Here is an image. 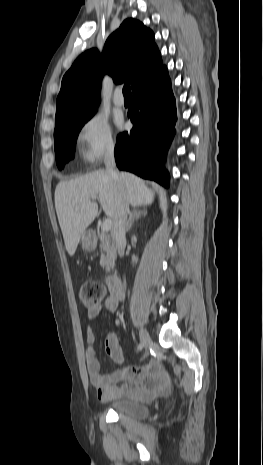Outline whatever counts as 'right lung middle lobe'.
I'll return each mask as SVG.
<instances>
[{
	"instance_id": "1",
	"label": "right lung middle lobe",
	"mask_w": 263,
	"mask_h": 465,
	"mask_svg": "<svg viewBox=\"0 0 263 465\" xmlns=\"http://www.w3.org/2000/svg\"><path fill=\"white\" fill-rule=\"evenodd\" d=\"M96 110L97 107L78 110L55 123L54 145L56 163L59 169H62L66 162L74 158L78 133Z\"/></svg>"
}]
</instances>
